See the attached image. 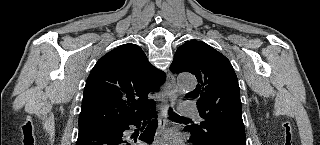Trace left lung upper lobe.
Listing matches in <instances>:
<instances>
[{
    "label": "left lung upper lobe",
    "mask_w": 320,
    "mask_h": 145,
    "mask_svg": "<svg viewBox=\"0 0 320 145\" xmlns=\"http://www.w3.org/2000/svg\"><path fill=\"white\" fill-rule=\"evenodd\" d=\"M170 70L193 73L198 80L197 87L185 96L197 99L199 114L205 120L200 126H190L193 136L208 141L221 131L245 135L238 79L222 53L191 40L178 47Z\"/></svg>",
    "instance_id": "left-lung-upper-lobe-1"
}]
</instances>
